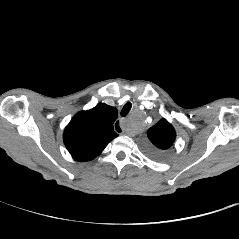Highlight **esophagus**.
<instances>
[{
    "label": "esophagus",
    "mask_w": 239,
    "mask_h": 239,
    "mask_svg": "<svg viewBox=\"0 0 239 239\" xmlns=\"http://www.w3.org/2000/svg\"><path fill=\"white\" fill-rule=\"evenodd\" d=\"M113 126H114V130L119 134V135H122L124 133V130L122 128H120L121 126V123L119 121H115L113 123Z\"/></svg>",
    "instance_id": "1"
}]
</instances>
